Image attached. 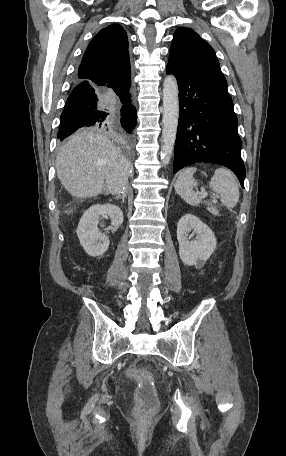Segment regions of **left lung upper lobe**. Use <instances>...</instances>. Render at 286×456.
I'll return each instance as SVG.
<instances>
[{
    "label": "left lung upper lobe",
    "instance_id": "1",
    "mask_svg": "<svg viewBox=\"0 0 286 456\" xmlns=\"http://www.w3.org/2000/svg\"><path fill=\"white\" fill-rule=\"evenodd\" d=\"M168 64L227 90V81L220 70L215 51L190 28H179L175 31Z\"/></svg>",
    "mask_w": 286,
    "mask_h": 456
}]
</instances>
